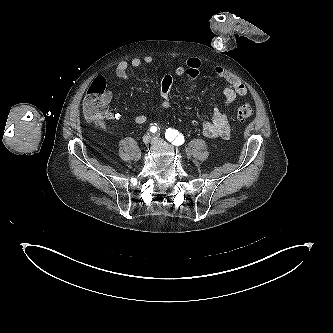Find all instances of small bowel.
<instances>
[{
    "label": "small bowel",
    "instance_id": "small-bowel-1",
    "mask_svg": "<svg viewBox=\"0 0 333 333\" xmlns=\"http://www.w3.org/2000/svg\"><path fill=\"white\" fill-rule=\"evenodd\" d=\"M153 58L145 56L144 58H133L130 62L121 61L115 67V75L122 79L129 78L128 69L130 67L138 68L143 64H151ZM201 62L198 58L191 57L186 60L184 65H180L175 69L178 76H187L189 78H197L200 73ZM214 73L217 77L225 80L227 86L223 89L221 95L223 98L222 104L216 102L212 107L211 120L202 123V133L208 138H222L227 139L230 137V127L228 121V108L238 98L247 95V88L244 83L233 73L222 68L215 67ZM172 90V76L167 74L162 78L160 84V95L162 98L161 107L163 109H170L172 107L171 99ZM107 104L111 102L113 95L111 91H106ZM120 114L107 111L105 116L97 122V124L104 128L105 121L118 120ZM147 120L146 115L141 114L136 116L135 122L143 124Z\"/></svg>",
    "mask_w": 333,
    "mask_h": 333
}]
</instances>
